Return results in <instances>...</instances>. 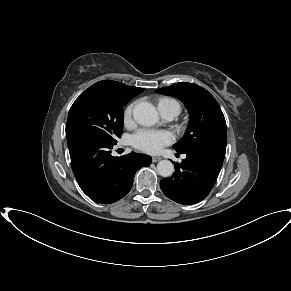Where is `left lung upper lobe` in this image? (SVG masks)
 Returning <instances> with one entry per match:
<instances>
[{
	"label": "left lung upper lobe",
	"mask_w": 291,
	"mask_h": 291,
	"mask_svg": "<svg viewBox=\"0 0 291 291\" xmlns=\"http://www.w3.org/2000/svg\"><path fill=\"white\" fill-rule=\"evenodd\" d=\"M156 92L179 98L189 111L190 122L185 135L173 145L177 152L195 149L226 152V121L219 104L206 89L181 82Z\"/></svg>",
	"instance_id": "5c2ea615"
}]
</instances>
